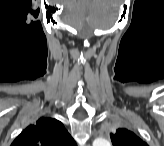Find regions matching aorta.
I'll return each mask as SVG.
<instances>
[{
  "label": "aorta",
  "instance_id": "762f6f07",
  "mask_svg": "<svg viewBox=\"0 0 164 146\" xmlns=\"http://www.w3.org/2000/svg\"><path fill=\"white\" fill-rule=\"evenodd\" d=\"M110 141L104 138H97L93 142V146H110Z\"/></svg>",
  "mask_w": 164,
  "mask_h": 146
}]
</instances>
